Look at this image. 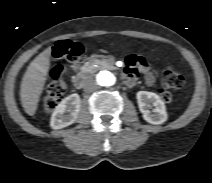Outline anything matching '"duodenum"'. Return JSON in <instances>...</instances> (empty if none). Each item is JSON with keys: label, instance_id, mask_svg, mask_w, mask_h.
I'll list each match as a JSON object with an SVG mask.
<instances>
[{"label": "duodenum", "instance_id": "1", "mask_svg": "<svg viewBox=\"0 0 212 183\" xmlns=\"http://www.w3.org/2000/svg\"><path fill=\"white\" fill-rule=\"evenodd\" d=\"M89 77V71L84 69L80 71L74 78L73 84L76 89H81L86 83V80Z\"/></svg>", "mask_w": 212, "mask_h": 183}]
</instances>
